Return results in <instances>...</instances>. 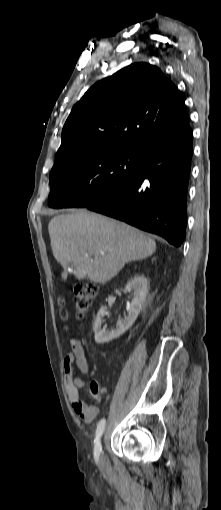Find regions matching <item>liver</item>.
I'll use <instances>...</instances> for the list:
<instances>
[{
    "label": "liver",
    "mask_w": 221,
    "mask_h": 510,
    "mask_svg": "<svg viewBox=\"0 0 221 510\" xmlns=\"http://www.w3.org/2000/svg\"><path fill=\"white\" fill-rule=\"evenodd\" d=\"M48 231L63 280L73 264L78 280L104 284L126 263L145 259L156 250L155 241L138 229L84 210L53 217Z\"/></svg>",
    "instance_id": "6515ba94"
}]
</instances>
